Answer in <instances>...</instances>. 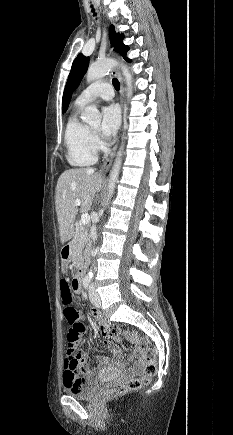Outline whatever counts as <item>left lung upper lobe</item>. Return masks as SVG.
<instances>
[{"instance_id":"obj_1","label":"left lung upper lobe","mask_w":233,"mask_h":435,"mask_svg":"<svg viewBox=\"0 0 233 435\" xmlns=\"http://www.w3.org/2000/svg\"><path fill=\"white\" fill-rule=\"evenodd\" d=\"M122 40L123 34L116 33L115 28L112 25L110 27L111 44L116 52L120 53L126 61L130 62L131 60L126 58L129 47L124 45ZM88 65L89 57L79 54L75 58L63 93V113L67 110L71 95L74 89L80 84L84 74L87 71Z\"/></svg>"}]
</instances>
